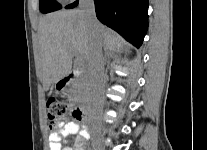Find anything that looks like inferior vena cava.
Here are the masks:
<instances>
[{"instance_id": "obj_1", "label": "inferior vena cava", "mask_w": 207, "mask_h": 150, "mask_svg": "<svg viewBox=\"0 0 207 150\" xmlns=\"http://www.w3.org/2000/svg\"><path fill=\"white\" fill-rule=\"evenodd\" d=\"M79 7L84 16L85 21L93 30L92 44L88 57V74L91 86V94L93 101L102 106L103 89L106 82V74L104 72V58L102 54L101 36L98 30V21L95 15V5L93 0H80Z\"/></svg>"}]
</instances>
